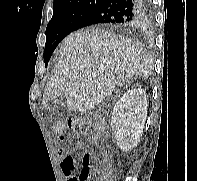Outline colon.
<instances>
[{"label":"colon","instance_id":"5ec220e1","mask_svg":"<svg viewBox=\"0 0 197 181\" xmlns=\"http://www.w3.org/2000/svg\"><path fill=\"white\" fill-rule=\"evenodd\" d=\"M74 131L88 137H94L97 134V126L93 120L86 121L79 117L74 122ZM59 139H62L63 129L57 126L54 129ZM105 160H95L90 154H84L82 157V169L77 181H112L113 170L105 163Z\"/></svg>","mask_w":197,"mask_h":181}]
</instances>
